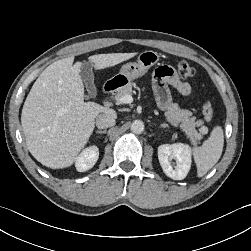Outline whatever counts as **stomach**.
Listing matches in <instances>:
<instances>
[{
	"label": "stomach",
	"instance_id": "0dacf381",
	"mask_svg": "<svg viewBox=\"0 0 251 251\" xmlns=\"http://www.w3.org/2000/svg\"><path fill=\"white\" fill-rule=\"evenodd\" d=\"M160 56L154 51H144L139 54L137 62H129L121 67V70L113 79L118 86L130 83L134 79L142 77L149 68L159 61Z\"/></svg>",
	"mask_w": 251,
	"mask_h": 251
}]
</instances>
